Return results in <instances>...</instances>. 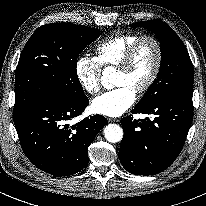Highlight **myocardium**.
<instances>
[{"label": "myocardium", "mask_w": 206, "mask_h": 206, "mask_svg": "<svg viewBox=\"0 0 206 206\" xmlns=\"http://www.w3.org/2000/svg\"><path fill=\"white\" fill-rule=\"evenodd\" d=\"M144 41H150L154 44L155 49H156V61L154 68L152 70L151 75L149 76L148 80L140 86L135 92L139 95L147 92L156 82L159 73L162 68V63H163V48L161 45V42L153 35L145 34L140 36L128 49L127 53L125 54L123 61L121 64L117 67V70L119 72L127 73L135 60L136 54L139 50L140 45Z\"/></svg>", "instance_id": "myocardium-1"}]
</instances>
